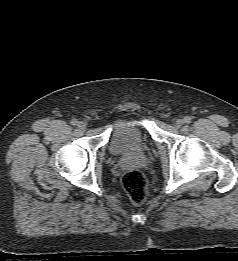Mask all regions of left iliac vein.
Listing matches in <instances>:
<instances>
[{
	"mask_svg": "<svg viewBox=\"0 0 238 261\" xmlns=\"http://www.w3.org/2000/svg\"><path fill=\"white\" fill-rule=\"evenodd\" d=\"M184 124V121L182 119H178L175 122V127L180 128Z\"/></svg>",
	"mask_w": 238,
	"mask_h": 261,
	"instance_id": "left-iliac-vein-1",
	"label": "left iliac vein"
}]
</instances>
